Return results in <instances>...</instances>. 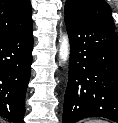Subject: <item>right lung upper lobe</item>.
I'll return each mask as SVG.
<instances>
[{
	"mask_svg": "<svg viewBox=\"0 0 118 123\" xmlns=\"http://www.w3.org/2000/svg\"><path fill=\"white\" fill-rule=\"evenodd\" d=\"M32 25L29 0H0V39L21 34Z\"/></svg>",
	"mask_w": 118,
	"mask_h": 123,
	"instance_id": "1",
	"label": "right lung upper lobe"
}]
</instances>
